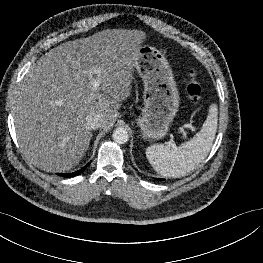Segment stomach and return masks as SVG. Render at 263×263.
<instances>
[{"mask_svg":"<svg viewBox=\"0 0 263 263\" xmlns=\"http://www.w3.org/2000/svg\"><path fill=\"white\" fill-rule=\"evenodd\" d=\"M135 64L144 83V107L136 123L143 139L160 140L168 134L180 106L172 69L164 54L149 45L139 46Z\"/></svg>","mask_w":263,"mask_h":263,"instance_id":"obj_1","label":"stomach"}]
</instances>
